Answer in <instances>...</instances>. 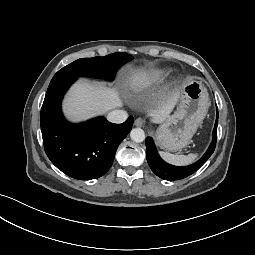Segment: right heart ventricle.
<instances>
[{
	"mask_svg": "<svg viewBox=\"0 0 255 255\" xmlns=\"http://www.w3.org/2000/svg\"><path fill=\"white\" fill-rule=\"evenodd\" d=\"M164 73L162 72H149L142 76H140L137 80L135 85L137 87H147L150 86L158 81H160L164 77Z\"/></svg>",
	"mask_w": 255,
	"mask_h": 255,
	"instance_id": "obj_1",
	"label": "right heart ventricle"
}]
</instances>
